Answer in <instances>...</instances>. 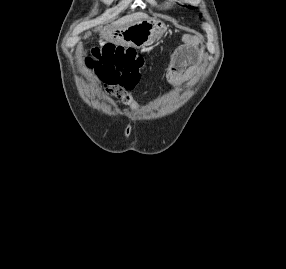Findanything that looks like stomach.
Segmentation results:
<instances>
[{"mask_svg":"<svg viewBox=\"0 0 286 269\" xmlns=\"http://www.w3.org/2000/svg\"><path fill=\"white\" fill-rule=\"evenodd\" d=\"M165 25L157 20H140L126 27L108 40L124 46L144 48L157 42L165 33Z\"/></svg>","mask_w":286,"mask_h":269,"instance_id":"obj_1","label":"stomach"}]
</instances>
